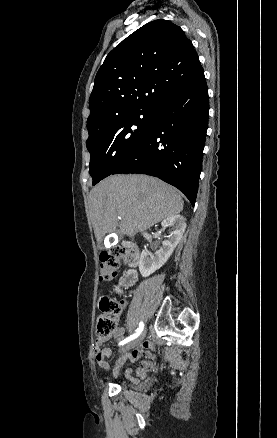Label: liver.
<instances>
[{"mask_svg": "<svg viewBox=\"0 0 277 438\" xmlns=\"http://www.w3.org/2000/svg\"><path fill=\"white\" fill-rule=\"evenodd\" d=\"M89 200L98 244L115 232L118 222L121 234L134 236L176 216L184 206L176 188L144 174L110 176L91 190Z\"/></svg>", "mask_w": 277, "mask_h": 438, "instance_id": "1", "label": "liver"}]
</instances>
